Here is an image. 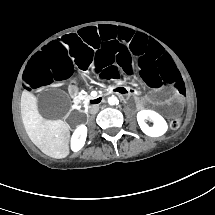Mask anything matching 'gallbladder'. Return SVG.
Here are the masks:
<instances>
[{"label":"gallbladder","mask_w":215,"mask_h":215,"mask_svg":"<svg viewBox=\"0 0 215 215\" xmlns=\"http://www.w3.org/2000/svg\"><path fill=\"white\" fill-rule=\"evenodd\" d=\"M69 106L68 96L59 90L44 92L37 100V107L42 116L48 119H60L64 117Z\"/></svg>","instance_id":"gallbladder-1"}]
</instances>
